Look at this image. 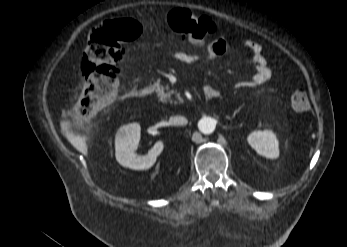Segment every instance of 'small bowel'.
I'll return each mask as SVG.
<instances>
[{
  "label": "small bowel",
  "instance_id": "c3829d8e",
  "mask_svg": "<svg viewBox=\"0 0 347 247\" xmlns=\"http://www.w3.org/2000/svg\"><path fill=\"white\" fill-rule=\"evenodd\" d=\"M201 45L204 47V52L202 54H190L187 52L178 51L174 53V58L178 62L184 64H195L207 60L217 59L223 56L228 49V43L223 37L214 38L206 44ZM245 47L251 53L255 73L249 80L240 82L238 86L255 87L262 85L272 76V70L268 65V61L263 53L262 46L258 42L249 39L245 41ZM215 90L218 91L217 89Z\"/></svg>",
  "mask_w": 347,
  "mask_h": 247
}]
</instances>
